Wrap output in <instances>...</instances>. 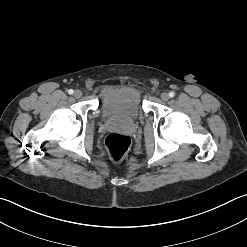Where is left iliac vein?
<instances>
[{
  "label": "left iliac vein",
  "instance_id": "obj_1",
  "mask_svg": "<svg viewBox=\"0 0 247 247\" xmlns=\"http://www.w3.org/2000/svg\"><path fill=\"white\" fill-rule=\"evenodd\" d=\"M160 97H161V99H162L163 101H168V99H169V94H167V93L164 92V93L161 94Z\"/></svg>",
  "mask_w": 247,
  "mask_h": 247
}]
</instances>
